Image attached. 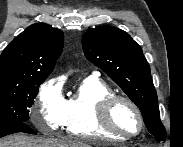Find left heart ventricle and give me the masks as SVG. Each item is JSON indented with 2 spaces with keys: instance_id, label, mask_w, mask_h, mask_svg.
Here are the masks:
<instances>
[{
  "instance_id": "1",
  "label": "left heart ventricle",
  "mask_w": 183,
  "mask_h": 147,
  "mask_svg": "<svg viewBox=\"0 0 183 147\" xmlns=\"http://www.w3.org/2000/svg\"><path fill=\"white\" fill-rule=\"evenodd\" d=\"M111 119L115 127L121 132L135 134L139 131L140 122L135 111L125 102L114 104Z\"/></svg>"
}]
</instances>
